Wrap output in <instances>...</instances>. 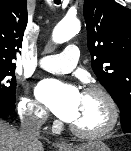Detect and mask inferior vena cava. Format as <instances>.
I'll return each mask as SVG.
<instances>
[{"label":"inferior vena cava","mask_w":131,"mask_h":151,"mask_svg":"<svg viewBox=\"0 0 131 151\" xmlns=\"http://www.w3.org/2000/svg\"><path fill=\"white\" fill-rule=\"evenodd\" d=\"M45 122V117L39 116V113L35 112V116H30L25 119L22 124L21 132L26 138L32 141H38L40 136V128Z\"/></svg>","instance_id":"602c4592"}]
</instances>
